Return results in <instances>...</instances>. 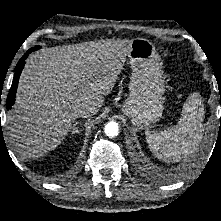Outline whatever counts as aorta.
I'll return each instance as SVG.
<instances>
[{
    "mask_svg": "<svg viewBox=\"0 0 221 221\" xmlns=\"http://www.w3.org/2000/svg\"><path fill=\"white\" fill-rule=\"evenodd\" d=\"M104 132L108 137H115L119 133V126L114 121L108 122L105 125Z\"/></svg>",
    "mask_w": 221,
    "mask_h": 221,
    "instance_id": "aorta-1",
    "label": "aorta"
}]
</instances>
